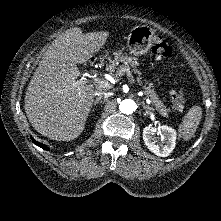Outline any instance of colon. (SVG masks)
I'll use <instances>...</instances> for the list:
<instances>
[{
    "label": "colon",
    "instance_id": "obj_1",
    "mask_svg": "<svg viewBox=\"0 0 221 221\" xmlns=\"http://www.w3.org/2000/svg\"><path fill=\"white\" fill-rule=\"evenodd\" d=\"M152 54L155 60L167 62L173 58V50L169 42L163 37H156L152 47ZM174 109L181 111L184 107L185 97L180 88H175L170 93Z\"/></svg>",
    "mask_w": 221,
    "mask_h": 221
}]
</instances>
